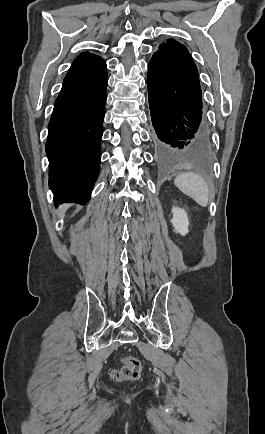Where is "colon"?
<instances>
[{"mask_svg":"<svg viewBox=\"0 0 265 434\" xmlns=\"http://www.w3.org/2000/svg\"><path fill=\"white\" fill-rule=\"evenodd\" d=\"M142 373V365L138 359L127 358L120 369L112 372V376L117 381L136 380Z\"/></svg>","mask_w":265,"mask_h":434,"instance_id":"5ec220e1","label":"colon"}]
</instances>
